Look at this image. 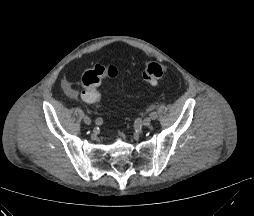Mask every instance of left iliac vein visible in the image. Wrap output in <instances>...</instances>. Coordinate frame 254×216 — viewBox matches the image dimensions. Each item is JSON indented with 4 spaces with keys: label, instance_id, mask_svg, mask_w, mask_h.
<instances>
[{
    "label": "left iliac vein",
    "instance_id": "4c4485c4",
    "mask_svg": "<svg viewBox=\"0 0 254 216\" xmlns=\"http://www.w3.org/2000/svg\"><path fill=\"white\" fill-rule=\"evenodd\" d=\"M150 124H151V118H150V117H146V118L143 119L142 125H143L144 127H147V126H149Z\"/></svg>",
    "mask_w": 254,
    "mask_h": 216
}]
</instances>
